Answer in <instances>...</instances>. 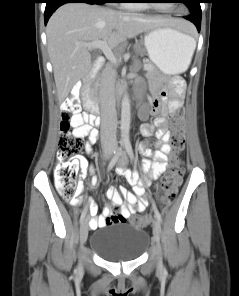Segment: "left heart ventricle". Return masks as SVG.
<instances>
[{
  "instance_id": "b2bd125f",
  "label": "left heart ventricle",
  "mask_w": 239,
  "mask_h": 296,
  "mask_svg": "<svg viewBox=\"0 0 239 296\" xmlns=\"http://www.w3.org/2000/svg\"><path fill=\"white\" fill-rule=\"evenodd\" d=\"M161 7H167L170 6L172 3H168V2H164V1H160L159 3H155Z\"/></svg>"
}]
</instances>
